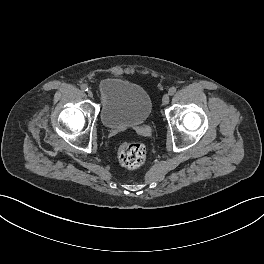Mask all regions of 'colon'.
<instances>
[{"instance_id": "obj_1", "label": "colon", "mask_w": 264, "mask_h": 264, "mask_svg": "<svg viewBox=\"0 0 264 264\" xmlns=\"http://www.w3.org/2000/svg\"><path fill=\"white\" fill-rule=\"evenodd\" d=\"M117 158L123 167L137 169L145 163L146 149L140 143L125 142L118 147Z\"/></svg>"}]
</instances>
